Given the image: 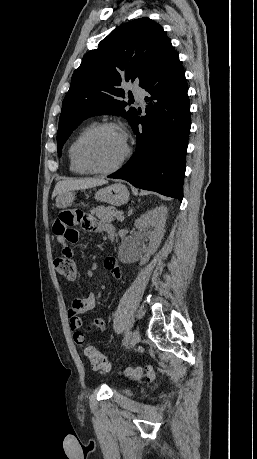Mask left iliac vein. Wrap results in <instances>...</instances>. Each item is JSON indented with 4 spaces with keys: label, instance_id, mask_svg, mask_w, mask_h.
<instances>
[{
    "label": "left iliac vein",
    "instance_id": "1",
    "mask_svg": "<svg viewBox=\"0 0 257 459\" xmlns=\"http://www.w3.org/2000/svg\"><path fill=\"white\" fill-rule=\"evenodd\" d=\"M139 341H140V332L138 330H134L128 341V348L134 347Z\"/></svg>",
    "mask_w": 257,
    "mask_h": 459
}]
</instances>
